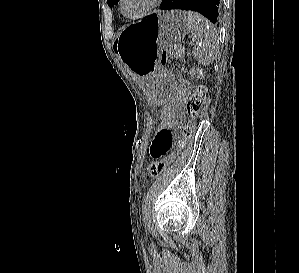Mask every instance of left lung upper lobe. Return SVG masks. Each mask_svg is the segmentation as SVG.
<instances>
[{"instance_id": "5c2ea615", "label": "left lung upper lobe", "mask_w": 299, "mask_h": 273, "mask_svg": "<svg viewBox=\"0 0 299 273\" xmlns=\"http://www.w3.org/2000/svg\"><path fill=\"white\" fill-rule=\"evenodd\" d=\"M118 1H119V0H107L108 5H109L110 7H113L114 5H116Z\"/></svg>"}]
</instances>
